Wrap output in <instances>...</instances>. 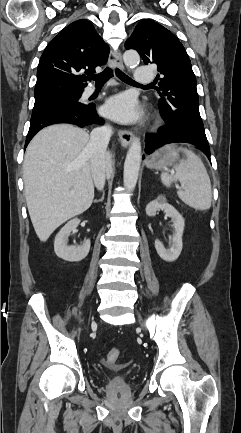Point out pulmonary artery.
Listing matches in <instances>:
<instances>
[{"label": "pulmonary artery", "mask_w": 241, "mask_h": 433, "mask_svg": "<svg viewBox=\"0 0 241 433\" xmlns=\"http://www.w3.org/2000/svg\"><path fill=\"white\" fill-rule=\"evenodd\" d=\"M135 81L139 84H149L153 81V74L148 67L138 66L135 68ZM93 88H87L84 96H89L93 93Z\"/></svg>", "instance_id": "obj_1"}]
</instances>
